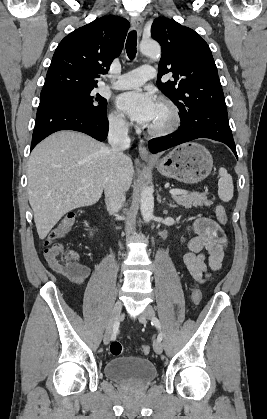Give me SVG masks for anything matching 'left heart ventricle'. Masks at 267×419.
I'll use <instances>...</instances> for the list:
<instances>
[{
    "label": "left heart ventricle",
    "mask_w": 267,
    "mask_h": 419,
    "mask_svg": "<svg viewBox=\"0 0 267 419\" xmlns=\"http://www.w3.org/2000/svg\"><path fill=\"white\" fill-rule=\"evenodd\" d=\"M169 121H170L169 110L165 106L158 103L153 119L149 124V127H160L167 124Z\"/></svg>",
    "instance_id": "left-heart-ventricle-1"
}]
</instances>
